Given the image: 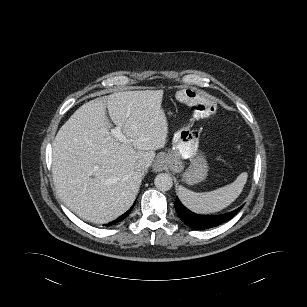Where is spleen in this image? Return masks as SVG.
<instances>
[{
	"instance_id": "3e777b00",
	"label": "spleen",
	"mask_w": 307,
	"mask_h": 307,
	"mask_svg": "<svg viewBox=\"0 0 307 307\" xmlns=\"http://www.w3.org/2000/svg\"><path fill=\"white\" fill-rule=\"evenodd\" d=\"M247 176V173L243 172L233 183L204 193H196L185 187H179L178 195L181 202L195 213H215L229 206L240 195Z\"/></svg>"
}]
</instances>
